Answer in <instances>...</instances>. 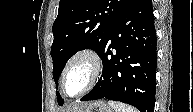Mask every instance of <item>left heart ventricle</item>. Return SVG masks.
I'll use <instances>...</instances> for the list:
<instances>
[{"mask_svg":"<svg viewBox=\"0 0 193 112\" xmlns=\"http://www.w3.org/2000/svg\"><path fill=\"white\" fill-rule=\"evenodd\" d=\"M91 74L90 65L79 60L75 62L68 71L66 78V89L70 95L79 93L88 83Z\"/></svg>","mask_w":193,"mask_h":112,"instance_id":"b2bd125f","label":"left heart ventricle"}]
</instances>
